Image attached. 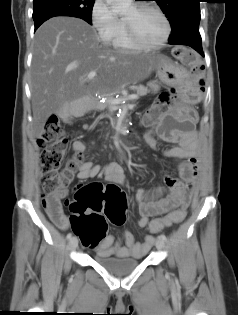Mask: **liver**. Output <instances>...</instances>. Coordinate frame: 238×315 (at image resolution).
I'll list each match as a JSON object with an SVG mask.
<instances>
[{
	"instance_id": "6515ba94",
	"label": "liver",
	"mask_w": 238,
	"mask_h": 315,
	"mask_svg": "<svg viewBox=\"0 0 238 315\" xmlns=\"http://www.w3.org/2000/svg\"><path fill=\"white\" fill-rule=\"evenodd\" d=\"M161 55H125L100 44L96 31L74 17H53L34 38L31 65L33 135L39 138L48 118L66 120L77 107L90 106L95 94H109L147 79ZM96 76L87 85V76Z\"/></svg>"
}]
</instances>
